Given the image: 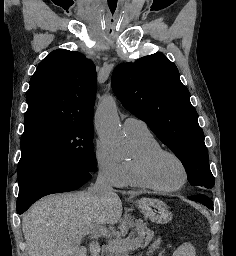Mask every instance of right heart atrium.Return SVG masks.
Wrapping results in <instances>:
<instances>
[{"label":"right heart atrium","mask_w":236,"mask_h":256,"mask_svg":"<svg viewBox=\"0 0 236 256\" xmlns=\"http://www.w3.org/2000/svg\"><path fill=\"white\" fill-rule=\"evenodd\" d=\"M92 157L99 179L115 188L126 186L123 163L114 159L100 140L94 145Z\"/></svg>","instance_id":"right-heart-atrium-1"}]
</instances>
